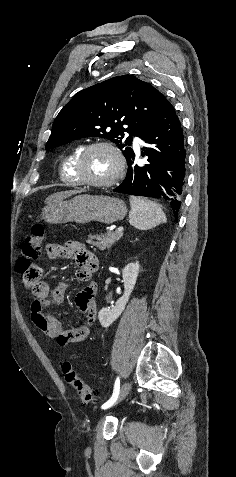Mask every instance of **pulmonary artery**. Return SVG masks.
<instances>
[{
	"instance_id": "pulmonary-artery-1",
	"label": "pulmonary artery",
	"mask_w": 236,
	"mask_h": 477,
	"mask_svg": "<svg viewBox=\"0 0 236 477\" xmlns=\"http://www.w3.org/2000/svg\"><path fill=\"white\" fill-rule=\"evenodd\" d=\"M135 146H138V139H135Z\"/></svg>"
}]
</instances>
